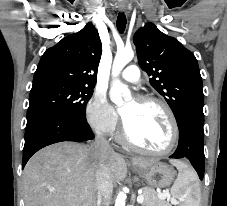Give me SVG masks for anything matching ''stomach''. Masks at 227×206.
Masks as SVG:
<instances>
[{"mask_svg":"<svg viewBox=\"0 0 227 206\" xmlns=\"http://www.w3.org/2000/svg\"><path fill=\"white\" fill-rule=\"evenodd\" d=\"M132 167L136 168L134 162H132ZM138 173L149 186L155 188L169 187L176 175L172 167L159 161L154 162L145 169L138 170Z\"/></svg>","mask_w":227,"mask_h":206,"instance_id":"1","label":"stomach"}]
</instances>
